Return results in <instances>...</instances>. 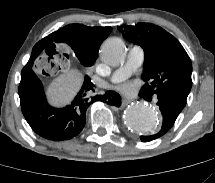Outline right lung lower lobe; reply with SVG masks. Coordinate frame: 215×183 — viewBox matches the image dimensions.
<instances>
[{
    "label": "right lung lower lobe",
    "mask_w": 215,
    "mask_h": 183,
    "mask_svg": "<svg viewBox=\"0 0 215 183\" xmlns=\"http://www.w3.org/2000/svg\"><path fill=\"white\" fill-rule=\"evenodd\" d=\"M38 55L33 54L21 72L19 97L23 115L32 130L41 137L52 141L69 140L79 134L85 125L86 110L95 101L119 107L120 95L107 91L95 95V86L88 76L73 101L63 108H54L46 100L43 85L32 70Z\"/></svg>",
    "instance_id": "1"
}]
</instances>
